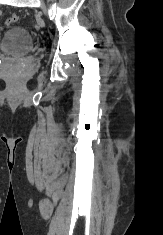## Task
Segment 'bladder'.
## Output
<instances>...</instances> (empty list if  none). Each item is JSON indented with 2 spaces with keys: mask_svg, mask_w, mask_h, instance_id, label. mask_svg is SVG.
<instances>
[{
  "mask_svg": "<svg viewBox=\"0 0 163 235\" xmlns=\"http://www.w3.org/2000/svg\"><path fill=\"white\" fill-rule=\"evenodd\" d=\"M34 50L30 33L20 26L5 30L0 36V53L12 56H24Z\"/></svg>",
  "mask_w": 163,
  "mask_h": 235,
  "instance_id": "1",
  "label": "bladder"
}]
</instances>
